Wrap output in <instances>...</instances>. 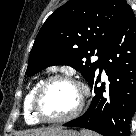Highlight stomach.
Wrapping results in <instances>:
<instances>
[{
    "mask_svg": "<svg viewBox=\"0 0 136 136\" xmlns=\"http://www.w3.org/2000/svg\"><path fill=\"white\" fill-rule=\"evenodd\" d=\"M50 136H80V134L73 130L59 129L58 131H55Z\"/></svg>",
    "mask_w": 136,
    "mask_h": 136,
    "instance_id": "obj_1",
    "label": "stomach"
}]
</instances>
